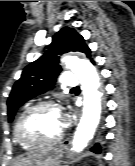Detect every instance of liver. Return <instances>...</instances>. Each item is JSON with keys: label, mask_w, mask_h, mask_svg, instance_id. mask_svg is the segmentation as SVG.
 Listing matches in <instances>:
<instances>
[{"label": "liver", "mask_w": 135, "mask_h": 166, "mask_svg": "<svg viewBox=\"0 0 135 166\" xmlns=\"http://www.w3.org/2000/svg\"><path fill=\"white\" fill-rule=\"evenodd\" d=\"M35 154H32L26 158H22L14 163V166H27L30 163V158Z\"/></svg>", "instance_id": "obj_1"}]
</instances>
